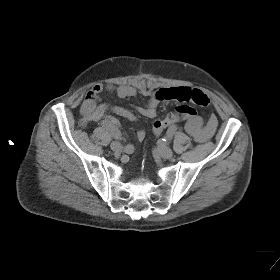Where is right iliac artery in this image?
Masks as SVG:
<instances>
[{
    "label": "right iliac artery",
    "mask_w": 280,
    "mask_h": 280,
    "mask_svg": "<svg viewBox=\"0 0 280 280\" xmlns=\"http://www.w3.org/2000/svg\"><path fill=\"white\" fill-rule=\"evenodd\" d=\"M102 127L104 129H106L107 131H109L111 133V135L116 139L121 141L123 139L122 134L120 132V130L114 126L110 121L108 120H103L102 121ZM124 151L128 154H131L134 152V146L132 144H126L124 146Z\"/></svg>",
    "instance_id": "obj_1"
}]
</instances>
